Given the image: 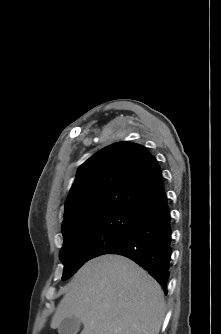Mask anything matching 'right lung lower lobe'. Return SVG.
<instances>
[{
	"label": "right lung lower lobe",
	"mask_w": 221,
	"mask_h": 334,
	"mask_svg": "<svg viewBox=\"0 0 221 334\" xmlns=\"http://www.w3.org/2000/svg\"><path fill=\"white\" fill-rule=\"evenodd\" d=\"M171 217L163 192L137 216L120 242L105 254L130 258L143 267L167 293L171 259Z\"/></svg>",
	"instance_id": "right-lung-lower-lobe-1"
}]
</instances>
